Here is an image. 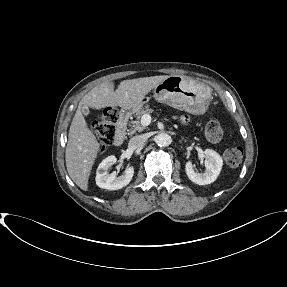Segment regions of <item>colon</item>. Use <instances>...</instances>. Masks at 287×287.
Returning a JSON list of instances; mask_svg holds the SVG:
<instances>
[{"label": "colon", "mask_w": 287, "mask_h": 287, "mask_svg": "<svg viewBox=\"0 0 287 287\" xmlns=\"http://www.w3.org/2000/svg\"><path fill=\"white\" fill-rule=\"evenodd\" d=\"M117 120V111L113 108H107L95 121L94 131L100 150H103L113 142ZM205 135L211 142H219L224 135L220 122L217 120H210L205 126ZM224 158L229 166L236 167L242 162L243 150L240 147L228 148L224 153Z\"/></svg>", "instance_id": "1"}]
</instances>
